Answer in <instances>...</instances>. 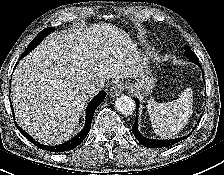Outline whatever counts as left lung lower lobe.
Segmentation results:
<instances>
[{
	"instance_id": "obj_1",
	"label": "left lung lower lobe",
	"mask_w": 224,
	"mask_h": 175,
	"mask_svg": "<svg viewBox=\"0 0 224 175\" xmlns=\"http://www.w3.org/2000/svg\"><path fill=\"white\" fill-rule=\"evenodd\" d=\"M197 64L200 68L201 65L199 64V62L195 63ZM135 102H136V106L137 108L139 107V101L137 98H135ZM202 117V115H201ZM132 132L135 136V138L144 146L148 147V148H162V147H168V146H172L175 143H178L186 138L189 137V135L181 137V138H176V139H172V140H156V139H149L144 137L139 131H138V125H137V115H136V119L135 122L132 126Z\"/></svg>"
}]
</instances>
